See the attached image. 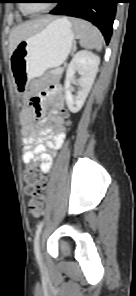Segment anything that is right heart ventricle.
Here are the masks:
<instances>
[{"instance_id":"right-heart-ventricle-1","label":"right heart ventricle","mask_w":136,"mask_h":296,"mask_svg":"<svg viewBox=\"0 0 136 296\" xmlns=\"http://www.w3.org/2000/svg\"><path fill=\"white\" fill-rule=\"evenodd\" d=\"M20 10L22 11L23 14L28 15V13L24 10L22 5H20Z\"/></svg>"}]
</instances>
